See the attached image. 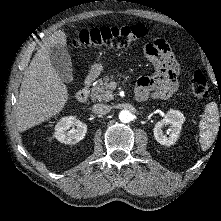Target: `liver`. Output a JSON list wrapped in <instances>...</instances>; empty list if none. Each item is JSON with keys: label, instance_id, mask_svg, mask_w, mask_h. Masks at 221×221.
<instances>
[{"label": "liver", "instance_id": "liver-1", "mask_svg": "<svg viewBox=\"0 0 221 221\" xmlns=\"http://www.w3.org/2000/svg\"><path fill=\"white\" fill-rule=\"evenodd\" d=\"M66 46V34L55 31L37 51L26 69L16 109L18 131L30 129L58 114L68 101L67 86L52 66L49 50Z\"/></svg>", "mask_w": 221, "mask_h": 221}]
</instances>
